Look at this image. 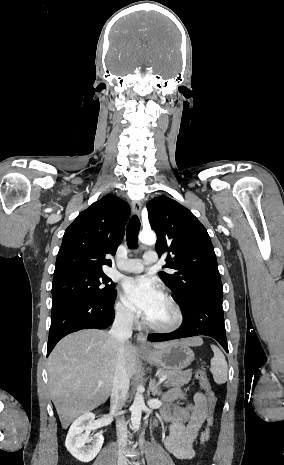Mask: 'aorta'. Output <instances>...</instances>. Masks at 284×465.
<instances>
[{
    "mask_svg": "<svg viewBox=\"0 0 284 465\" xmlns=\"http://www.w3.org/2000/svg\"><path fill=\"white\" fill-rule=\"evenodd\" d=\"M139 241L144 244L153 245L156 243V234L151 230H143L139 234ZM144 406V397L138 390L135 394L134 402L131 406V423L134 430H138L140 427L142 409Z\"/></svg>",
    "mask_w": 284,
    "mask_h": 465,
    "instance_id": "obj_1",
    "label": "aorta"
}]
</instances>
